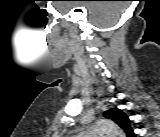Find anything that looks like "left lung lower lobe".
Returning <instances> with one entry per match:
<instances>
[{
  "label": "left lung lower lobe",
  "mask_w": 160,
  "mask_h": 137,
  "mask_svg": "<svg viewBox=\"0 0 160 137\" xmlns=\"http://www.w3.org/2000/svg\"><path fill=\"white\" fill-rule=\"evenodd\" d=\"M127 135H128V136L133 137V136H134V132H133V130H132V131H130Z\"/></svg>",
  "instance_id": "obj_1"
}]
</instances>
